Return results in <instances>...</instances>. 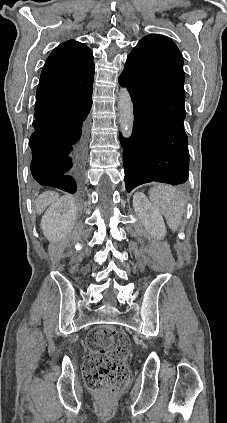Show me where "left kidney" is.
<instances>
[{"instance_id":"5707ae66","label":"left kidney","mask_w":227,"mask_h":423,"mask_svg":"<svg viewBox=\"0 0 227 423\" xmlns=\"http://www.w3.org/2000/svg\"><path fill=\"white\" fill-rule=\"evenodd\" d=\"M133 206L140 221L157 239H163L166 233L165 221L159 211L153 208L142 192H136L133 196Z\"/></svg>"}]
</instances>
